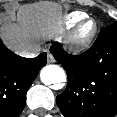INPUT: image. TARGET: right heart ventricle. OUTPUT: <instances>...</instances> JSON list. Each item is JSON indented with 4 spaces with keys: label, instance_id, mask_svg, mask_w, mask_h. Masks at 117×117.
Instances as JSON below:
<instances>
[{
    "label": "right heart ventricle",
    "instance_id": "1",
    "mask_svg": "<svg viewBox=\"0 0 117 117\" xmlns=\"http://www.w3.org/2000/svg\"><path fill=\"white\" fill-rule=\"evenodd\" d=\"M86 18V14L83 12H74L68 15L67 17V26L73 27L77 23L81 22Z\"/></svg>",
    "mask_w": 117,
    "mask_h": 117
}]
</instances>
